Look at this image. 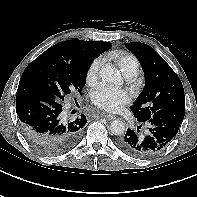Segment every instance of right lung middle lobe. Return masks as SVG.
Segmentation results:
<instances>
[{"label": "right lung middle lobe", "instance_id": "dd1d6c3e", "mask_svg": "<svg viewBox=\"0 0 197 197\" xmlns=\"http://www.w3.org/2000/svg\"><path fill=\"white\" fill-rule=\"evenodd\" d=\"M91 56L80 63H67L47 50L31 62L24 70L21 81L46 88L55 99L62 103L71 91L85 86L87 71L94 60Z\"/></svg>", "mask_w": 197, "mask_h": 197}]
</instances>
